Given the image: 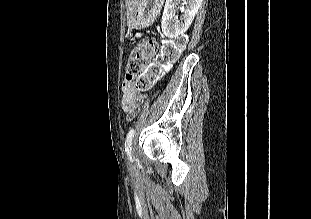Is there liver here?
<instances>
[{"instance_id": "liver-1", "label": "liver", "mask_w": 311, "mask_h": 219, "mask_svg": "<svg viewBox=\"0 0 311 219\" xmlns=\"http://www.w3.org/2000/svg\"><path fill=\"white\" fill-rule=\"evenodd\" d=\"M139 0H126L128 9H127V15L130 17L133 12L135 11L137 5H138Z\"/></svg>"}]
</instances>
